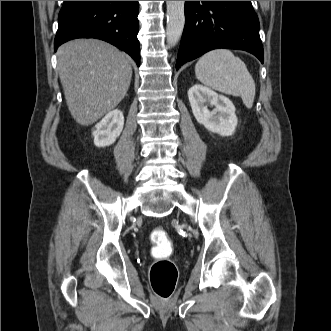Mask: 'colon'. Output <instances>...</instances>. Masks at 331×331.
Listing matches in <instances>:
<instances>
[{"mask_svg":"<svg viewBox=\"0 0 331 331\" xmlns=\"http://www.w3.org/2000/svg\"><path fill=\"white\" fill-rule=\"evenodd\" d=\"M153 243L152 254L155 261L150 267V282L157 298L168 301L175 292L178 270L169 258L172 245L168 233L163 228H156L150 234Z\"/></svg>","mask_w":331,"mask_h":331,"instance_id":"1","label":"colon"}]
</instances>
